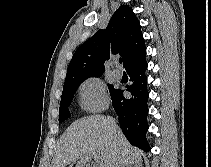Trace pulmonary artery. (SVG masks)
Wrapping results in <instances>:
<instances>
[{"label":"pulmonary artery","mask_w":211,"mask_h":167,"mask_svg":"<svg viewBox=\"0 0 211 167\" xmlns=\"http://www.w3.org/2000/svg\"><path fill=\"white\" fill-rule=\"evenodd\" d=\"M113 75H114L115 78L120 79V78L122 77V72H121L120 69L115 68V69L113 70Z\"/></svg>","instance_id":"pulmonary-artery-1"}]
</instances>
